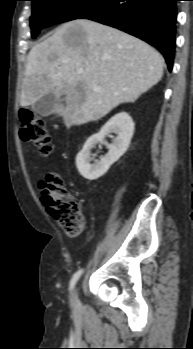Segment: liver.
<instances>
[{
  "instance_id": "liver-1",
  "label": "liver",
  "mask_w": 193,
  "mask_h": 349,
  "mask_svg": "<svg viewBox=\"0 0 193 349\" xmlns=\"http://www.w3.org/2000/svg\"><path fill=\"white\" fill-rule=\"evenodd\" d=\"M163 69L164 58L140 39L94 21L73 20L30 50L20 105H33L48 94L65 96L66 104L56 103L52 112L68 127L83 125L135 102L161 80Z\"/></svg>"
}]
</instances>
